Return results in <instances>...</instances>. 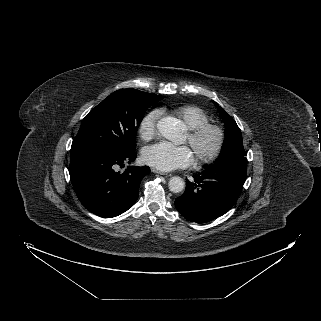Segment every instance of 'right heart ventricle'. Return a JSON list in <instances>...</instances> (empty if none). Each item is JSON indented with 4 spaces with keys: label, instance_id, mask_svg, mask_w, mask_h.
<instances>
[{
    "label": "right heart ventricle",
    "instance_id": "obj_1",
    "mask_svg": "<svg viewBox=\"0 0 321 321\" xmlns=\"http://www.w3.org/2000/svg\"><path fill=\"white\" fill-rule=\"evenodd\" d=\"M173 113L184 122L188 129L209 122L210 119L205 110L193 104L177 107L173 110Z\"/></svg>",
    "mask_w": 321,
    "mask_h": 321
}]
</instances>
